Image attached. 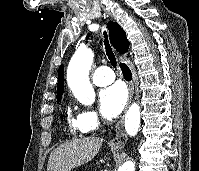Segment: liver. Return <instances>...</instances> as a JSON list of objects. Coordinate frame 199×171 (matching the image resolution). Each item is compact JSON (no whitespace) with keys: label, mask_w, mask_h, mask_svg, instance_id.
Masks as SVG:
<instances>
[{"label":"liver","mask_w":199,"mask_h":171,"mask_svg":"<svg viewBox=\"0 0 199 171\" xmlns=\"http://www.w3.org/2000/svg\"><path fill=\"white\" fill-rule=\"evenodd\" d=\"M102 142L101 138L88 137L61 144L51 152L47 171H71L87 163L98 153Z\"/></svg>","instance_id":"liver-1"}]
</instances>
